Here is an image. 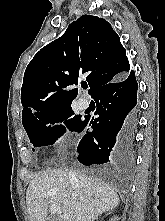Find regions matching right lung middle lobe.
Segmentation results:
<instances>
[{
	"mask_svg": "<svg viewBox=\"0 0 165 221\" xmlns=\"http://www.w3.org/2000/svg\"><path fill=\"white\" fill-rule=\"evenodd\" d=\"M56 122H64L69 130L78 132L84 120L79 115L74 116L70 106L41 114L33 121L24 123L23 126L34 147L54 144L56 139L66 132L63 125L52 126Z\"/></svg>",
	"mask_w": 165,
	"mask_h": 221,
	"instance_id": "1",
	"label": "right lung middle lobe"
}]
</instances>
